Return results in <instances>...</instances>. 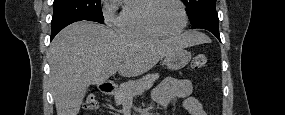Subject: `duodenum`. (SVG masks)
<instances>
[{"instance_id": "410a0bca", "label": "duodenum", "mask_w": 285, "mask_h": 115, "mask_svg": "<svg viewBox=\"0 0 285 115\" xmlns=\"http://www.w3.org/2000/svg\"><path fill=\"white\" fill-rule=\"evenodd\" d=\"M115 88L116 84L113 82H104L99 86L101 93H103L104 95L111 94Z\"/></svg>"}]
</instances>
